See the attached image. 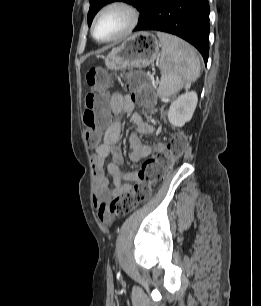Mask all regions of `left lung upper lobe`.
<instances>
[{"label": "left lung upper lobe", "instance_id": "1", "mask_svg": "<svg viewBox=\"0 0 261 306\" xmlns=\"http://www.w3.org/2000/svg\"><path fill=\"white\" fill-rule=\"evenodd\" d=\"M114 1L126 2L136 7L138 11H141L147 0H90V9L88 12V25L89 26L91 25L95 14L99 11L101 7Z\"/></svg>", "mask_w": 261, "mask_h": 306}]
</instances>
